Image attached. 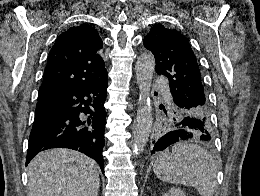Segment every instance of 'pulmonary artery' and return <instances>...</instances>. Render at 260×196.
Masks as SVG:
<instances>
[{"instance_id": "1", "label": "pulmonary artery", "mask_w": 260, "mask_h": 196, "mask_svg": "<svg viewBox=\"0 0 260 196\" xmlns=\"http://www.w3.org/2000/svg\"><path fill=\"white\" fill-rule=\"evenodd\" d=\"M154 83L155 84H165V79H155Z\"/></svg>"}]
</instances>
